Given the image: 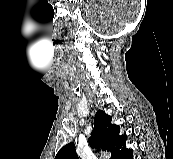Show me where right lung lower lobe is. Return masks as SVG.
<instances>
[{
  "label": "right lung lower lobe",
  "instance_id": "obj_1",
  "mask_svg": "<svg viewBox=\"0 0 173 159\" xmlns=\"http://www.w3.org/2000/svg\"><path fill=\"white\" fill-rule=\"evenodd\" d=\"M123 159H132V150Z\"/></svg>",
  "mask_w": 173,
  "mask_h": 159
}]
</instances>
